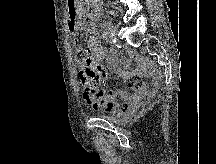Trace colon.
I'll use <instances>...</instances> for the list:
<instances>
[{
	"instance_id": "colon-1",
	"label": "colon",
	"mask_w": 216,
	"mask_h": 164,
	"mask_svg": "<svg viewBox=\"0 0 216 164\" xmlns=\"http://www.w3.org/2000/svg\"><path fill=\"white\" fill-rule=\"evenodd\" d=\"M80 78L84 89L92 90L98 87L102 79L101 71L93 66L90 61H82Z\"/></svg>"
}]
</instances>
